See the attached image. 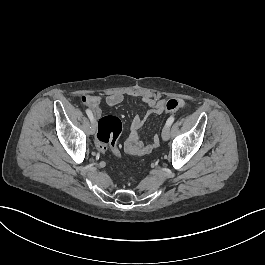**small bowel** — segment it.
I'll return each instance as SVG.
<instances>
[{
	"label": "small bowel",
	"instance_id": "1",
	"mask_svg": "<svg viewBox=\"0 0 265 265\" xmlns=\"http://www.w3.org/2000/svg\"><path fill=\"white\" fill-rule=\"evenodd\" d=\"M86 103L93 110L94 115L99 116L102 113L100 105V97L97 95H87ZM142 102L147 105L148 110L142 118L135 119L131 126V132L125 143V150L128 154L133 156H143L150 154L154 149L160 145V139L158 136H154L151 143L144 144L140 141L138 132L152 115H160L164 112V99H158L149 94L142 96ZM124 100V95L120 92H113L106 97V103L111 106H117ZM180 108L185 107V102L179 100Z\"/></svg>",
	"mask_w": 265,
	"mask_h": 265
}]
</instances>
